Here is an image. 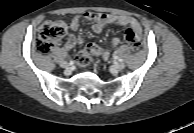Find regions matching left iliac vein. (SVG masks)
I'll use <instances>...</instances> for the list:
<instances>
[{"mask_svg":"<svg viewBox=\"0 0 194 133\" xmlns=\"http://www.w3.org/2000/svg\"><path fill=\"white\" fill-rule=\"evenodd\" d=\"M125 68V64L124 63H116L111 67V71L112 72H118L121 71Z\"/></svg>","mask_w":194,"mask_h":133,"instance_id":"left-iliac-vein-1","label":"left iliac vein"}]
</instances>
